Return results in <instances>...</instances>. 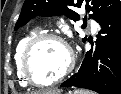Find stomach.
I'll return each mask as SVG.
<instances>
[{
	"instance_id": "1",
	"label": "stomach",
	"mask_w": 121,
	"mask_h": 94,
	"mask_svg": "<svg viewBox=\"0 0 121 94\" xmlns=\"http://www.w3.org/2000/svg\"><path fill=\"white\" fill-rule=\"evenodd\" d=\"M68 94H88V93L83 90H74L72 92H69Z\"/></svg>"
}]
</instances>
